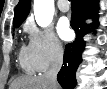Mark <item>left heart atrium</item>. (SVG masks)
Here are the masks:
<instances>
[{"instance_id":"left-heart-atrium-1","label":"left heart atrium","mask_w":107,"mask_h":89,"mask_svg":"<svg viewBox=\"0 0 107 89\" xmlns=\"http://www.w3.org/2000/svg\"><path fill=\"white\" fill-rule=\"evenodd\" d=\"M57 32L63 40H68L71 37L72 31L67 19L62 18L57 24Z\"/></svg>"}]
</instances>
